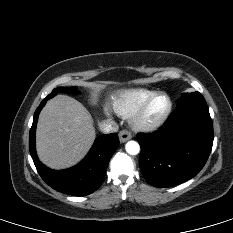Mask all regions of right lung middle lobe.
<instances>
[{
    "mask_svg": "<svg viewBox=\"0 0 233 233\" xmlns=\"http://www.w3.org/2000/svg\"><path fill=\"white\" fill-rule=\"evenodd\" d=\"M78 91L77 87H70V88H67V87H58V88H55L52 93H50L45 99H50L52 97H54L55 95H57V93L59 92H68V93H76Z\"/></svg>",
    "mask_w": 233,
    "mask_h": 233,
    "instance_id": "1",
    "label": "right lung middle lobe"
}]
</instances>
